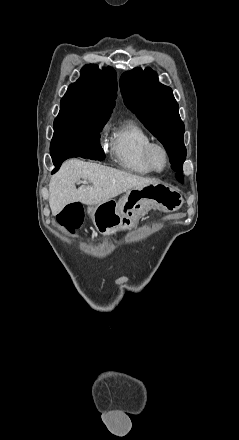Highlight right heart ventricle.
<instances>
[{"label":"right heart ventricle","instance_id":"e07e8e85","mask_svg":"<svg viewBox=\"0 0 239 440\" xmlns=\"http://www.w3.org/2000/svg\"><path fill=\"white\" fill-rule=\"evenodd\" d=\"M152 142L147 131L139 125L127 122L113 131L110 147L114 163L131 173L148 175L153 171L145 159V149Z\"/></svg>","mask_w":239,"mask_h":440}]
</instances>
